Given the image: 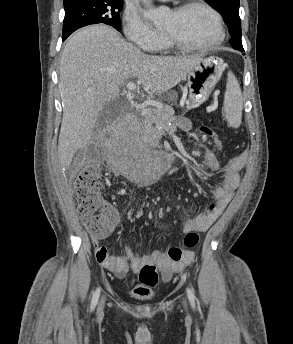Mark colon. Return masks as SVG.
Listing matches in <instances>:
<instances>
[{"instance_id": "1", "label": "colon", "mask_w": 293, "mask_h": 344, "mask_svg": "<svg viewBox=\"0 0 293 344\" xmlns=\"http://www.w3.org/2000/svg\"><path fill=\"white\" fill-rule=\"evenodd\" d=\"M200 132L203 137L211 140L215 145H220L217 135L210 128L202 127ZM101 189L100 172L94 165L86 166L75 180L74 192L78 213L93 238H103L108 235L118 219L117 211L100 197ZM214 207L212 205L211 210ZM198 242L199 235L194 231L188 232L183 239L182 246H172L168 249V258L172 261H179L184 252L194 249ZM139 280L145 287L156 286L159 281L157 268L154 265H145L140 270Z\"/></svg>"}]
</instances>
